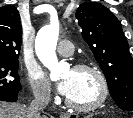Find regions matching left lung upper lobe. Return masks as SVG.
I'll use <instances>...</instances> for the list:
<instances>
[{
	"instance_id": "1",
	"label": "left lung upper lobe",
	"mask_w": 133,
	"mask_h": 118,
	"mask_svg": "<svg viewBox=\"0 0 133 118\" xmlns=\"http://www.w3.org/2000/svg\"><path fill=\"white\" fill-rule=\"evenodd\" d=\"M76 19L106 77L113 100L121 109L133 111V59L118 19L97 2L82 3Z\"/></svg>"
}]
</instances>
